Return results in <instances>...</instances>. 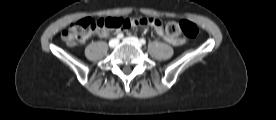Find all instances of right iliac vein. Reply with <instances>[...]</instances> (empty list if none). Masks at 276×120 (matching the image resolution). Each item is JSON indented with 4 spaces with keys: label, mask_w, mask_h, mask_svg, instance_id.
Masks as SVG:
<instances>
[{
    "label": "right iliac vein",
    "mask_w": 276,
    "mask_h": 120,
    "mask_svg": "<svg viewBox=\"0 0 276 120\" xmlns=\"http://www.w3.org/2000/svg\"><path fill=\"white\" fill-rule=\"evenodd\" d=\"M118 44H119V41H118L117 39H112V40H110V42H109V46H110L111 48L116 47Z\"/></svg>",
    "instance_id": "obj_1"
}]
</instances>
